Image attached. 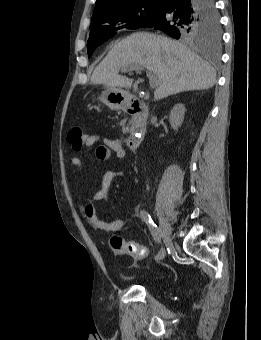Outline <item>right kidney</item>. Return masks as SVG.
<instances>
[{
	"label": "right kidney",
	"mask_w": 261,
	"mask_h": 340,
	"mask_svg": "<svg viewBox=\"0 0 261 340\" xmlns=\"http://www.w3.org/2000/svg\"><path fill=\"white\" fill-rule=\"evenodd\" d=\"M185 111V106L182 103H178L172 108L169 115V122L173 130H178L182 125Z\"/></svg>",
	"instance_id": "ca27d5eb"
}]
</instances>
